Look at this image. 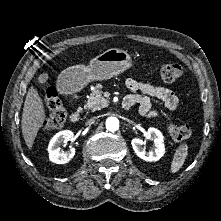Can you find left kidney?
<instances>
[{"label": "left kidney", "instance_id": "1", "mask_svg": "<svg viewBox=\"0 0 221 221\" xmlns=\"http://www.w3.org/2000/svg\"><path fill=\"white\" fill-rule=\"evenodd\" d=\"M146 138L153 140L155 146L154 150L146 152L143 147L144 141L140 138H134L131 141L134 152L142 160L148 162L158 161L165 153L164 137L162 133L156 128H149Z\"/></svg>", "mask_w": 221, "mask_h": 221}]
</instances>
